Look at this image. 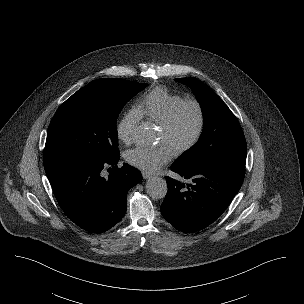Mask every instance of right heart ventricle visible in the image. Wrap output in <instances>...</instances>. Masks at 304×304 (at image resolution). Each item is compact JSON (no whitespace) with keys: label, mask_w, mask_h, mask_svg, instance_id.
<instances>
[{"label":"right heart ventricle","mask_w":304,"mask_h":304,"mask_svg":"<svg viewBox=\"0 0 304 304\" xmlns=\"http://www.w3.org/2000/svg\"><path fill=\"white\" fill-rule=\"evenodd\" d=\"M183 100V97L164 87H156L145 92L136 102L135 109L141 117L160 124L170 110Z\"/></svg>","instance_id":"1"}]
</instances>
